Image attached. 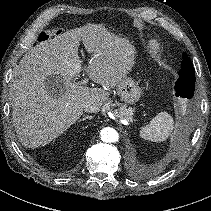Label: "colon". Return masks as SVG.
<instances>
[{
	"mask_svg": "<svg viewBox=\"0 0 211 211\" xmlns=\"http://www.w3.org/2000/svg\"><path fill=\"white\" fill-rule=\"evenodd\" d=\"M60 33H61V30L59 28L45 30L38 34L37 40L40 43H44V42H47L51 37L55 35H59Z\"/></svg>",
	"mask_w": 211,
	"mask_h": 211,
	"instance_id": "1",
	"label": "colon"
}]
</instances>
